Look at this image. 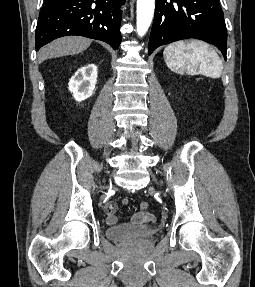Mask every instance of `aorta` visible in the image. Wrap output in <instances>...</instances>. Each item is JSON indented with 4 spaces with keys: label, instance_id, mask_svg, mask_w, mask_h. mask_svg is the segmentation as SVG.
<instances>
[{
    "label": "aorta",
    "instance_id": "obj_1",
    "mask_svg": "<svg viewBox=\"0 0 255 287\" xmlns=\"http://www.w3.org/2000/svg\"><path fill=\"white\" fill-rule=\"evenodd\" d=\"M155 0H137V32L144 36L154 14Z\"/></svg>",
    "mask_w": 255,
    "mask_h": 287
}]
</instances>
